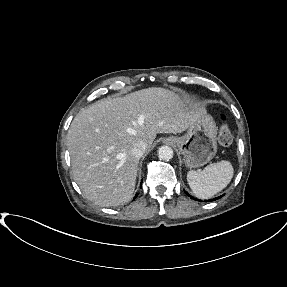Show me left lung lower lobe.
<instances>
[{
    "mask_svg": "<svg viewBox=\"0 0 287 287\" xmlns=\"http://www.w3.org/2000/svg\"><path fill=\"white\" fill-rule=\"evenodd\" d=\"M185 193L187 194V192H185ZM187 195L189 196V194H187ZM221 197H222V196L217 197V198H214V199H210L209 201H214V200L219 199V198H221ZM190 198L196 200V198H194V197H192V196H190Z\"/></svg>",
    "mask_w": 287,
    "mask_h": 287,
    "instance_id": "0a47b994",
    "label": "left lung lower lobe"
}]
</instances>
